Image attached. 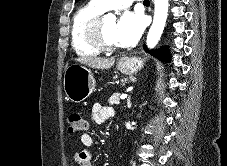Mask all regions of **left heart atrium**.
<instances>
[{
    "instance_id": "1",
    "label": "left heart atrium",
    "mask_w": 227,
    "mask_h": 166,
    "mask_svg": "<svg viewBox=\"0 0 227 166\" xmlns=\"http://www.w3.org/2000/svg\"><path fill=\"white\" fill-rule=\"evenodd\" d=\"M145 28V18L140 12H125L117 22L116 37L124 45L133 44Z\"/></svg>"
}]
</instances>
